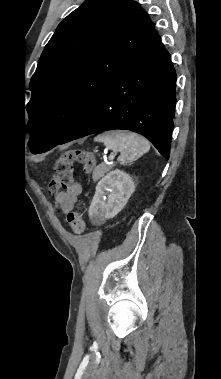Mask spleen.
<instances>
[{
    "label": "spleen",
    "mask_w": 221,
    "mask_h": 379,
    "mask_svg": "<svg viewBox=\"0 0 221 379\" xmlns=\"http://www.w3.org/2000/svg\"><path fill=\"white\" fill-rule=\"evenodd\" d=\"M95 142H102L114 153L119 152L118 162L126 165L134 162L150 150V144L144 137L126 131H109L98 135Z\"/></svg>",
    "instance_id": "3e777b00"
}]
</instances>
